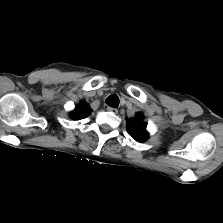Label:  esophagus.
I'll use <instances>...</instances> for the list:
<instances>
[{
	"label": "esophagus",
	"instance_id": "obj_1",
	"mask_svg": "<svg viewBox=\"0 0 223 223\" xmlns=\"http://www.w3.org/2000/svg\"><path fill=\"white\" fill-rule=\"evenodd\" d=\"M107 111L113 113V114H118V110L116 108H112V107H107Z\"/></svg>",
	"mask_w": 223,
	"mask_h": 223
}]
</instances>
